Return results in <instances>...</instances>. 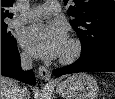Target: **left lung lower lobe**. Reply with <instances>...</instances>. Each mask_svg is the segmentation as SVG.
Instances as JSON below:
<instances>
[{
    "label": "left lung lower lobe",
    "mask_w": 115,
    "mask_h": 99,
    "mask_svg": "<svg viewBox=\"0 0 115 99\" xmlns=\"http://www.w3.org/2000/svg\"><path fill=\"white\" fill-rule=\"evenodd\" d=\"M94 71L115 72V48H106L88 55H81L73 64L55 69L53 74L61 76L70 73Z\"/></svg>",
    "instance_id": "left-lung-lower-lobe-1"
}]
</instances>
